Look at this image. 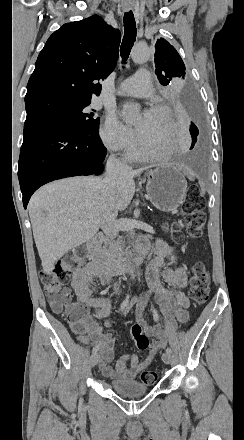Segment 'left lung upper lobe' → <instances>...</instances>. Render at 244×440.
Segmentation results:
<instances>
[{"mask_svg": "<svg viewBox=\"0 0 244 440\" xmlns=\"http://www.w3.org/2000/svg\"><path fill=\"white\" fill-rule=\"evenodd\" d=\"M155 49L156 75L160 83L166 86L170 81L184 79L185 65L176 49L163 38L157 40Z\"/></svg>", "mask_w": 244, "mask_h": 440, "instance_id": "obj_1", "label": "left lung upper lobe"}]
</instances>
